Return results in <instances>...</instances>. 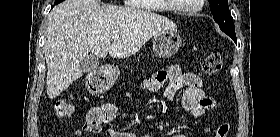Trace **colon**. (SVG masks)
Instances as JSON below:
<instances>
[{
  "instance_id": "obj_1",
  "label": "colon",
  "mask_w": 280,
  "mask_h": 137,
  "mask_svg": "<svg viewBox=\"0 0 280 137\" xmlns=\"http://www.w3.org/2000/svg\"><path fill=\"white\" fill-rule=\"evenodd\" d=\"M223 66V60L219 53L207 54L202 62V71L208 76L218 74ZM55 116L66 119L74 112V106L65 98H58L54 103ZM230 125L227 122L220 124L213 132V137H227Z\"/></svg>"
}]
</instances>
